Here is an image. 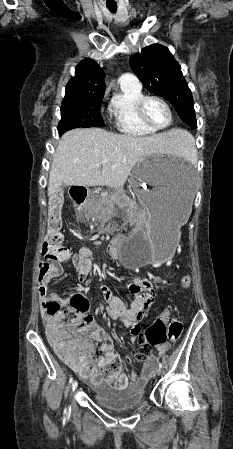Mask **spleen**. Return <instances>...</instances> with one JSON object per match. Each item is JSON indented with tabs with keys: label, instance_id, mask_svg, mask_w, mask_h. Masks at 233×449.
Segmentation results:
<instances>
[{
	"label": "spleen",
	"instance_id": "obj_1",
	"mask_svg": "<svg viewBox=\"0 0 233 449\" xmlns=\"http://www.w3.org/2000/svg\"><path fill=\"white\" fill-rule=\"evenodd\" d=\"M181 144L175 149V153L178 155L191 156L194 153L193 139L189 133L184 134V139L181 140Z\"/></svg>",
	"mask_w": 233,
	"mask_h": 449
}]
</instances>
